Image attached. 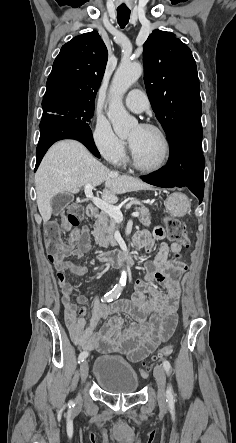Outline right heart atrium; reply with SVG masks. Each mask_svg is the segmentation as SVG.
I'll use <instances>...</instances> for the list:
<instances>
[{
	"mask_svg": "<svg viewBox=\"0 0 236 443\" xmlns=\"http://www.w3.org/2000/svg\"><path fill=\"white\" fill-rule=\"evenodd\" d=\"M91 139L101 154L108 162L122 165L127 156L126 142L120 139L110 124L102 117H95L91 127Z\"/></svg>",
	"mask_w": 236,
	"mask_h": 443,
	"instance_id": "obj_1",
	"label": "right heart atrium"
}]
</instances>
